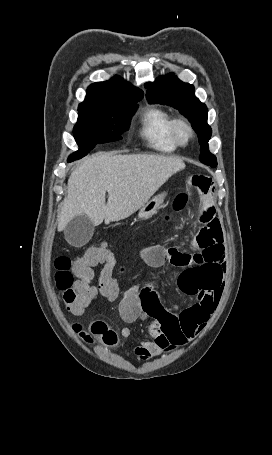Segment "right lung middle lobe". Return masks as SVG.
Returning <instances> with one entry per match:
<instances>
[{
	"instance_id": "dd1d6c3e",
	"label": "right lung middle lobe",
	"mask_w": 272,
	"mask_h": 455,
	"mask_svg": "<svg viewBox=\"0 0 272 455\" xmlns=\"http://www.w3.org/2000/svg\"><path fill=\"white\" fill-rule=\"evenodd\" d=\"M137 101L111 110L78 108V121L73 131L79 150L70 155L68 161L84 157L96 144L122 139L120 135L129 129Z\"/></svg>"
}]
</instances>
